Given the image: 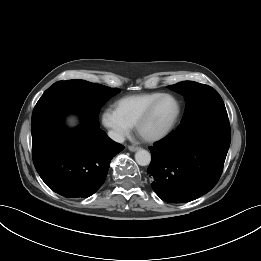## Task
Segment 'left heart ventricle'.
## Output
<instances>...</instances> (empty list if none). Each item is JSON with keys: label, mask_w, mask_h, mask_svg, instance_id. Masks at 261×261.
I'll use <instances>...</instances> for the list:
<instances>
[{"label": "left heart ventricle", "mask_w": 261, "mask_h": 261, "mask_svg": "<svg viewBox=\"0 0 261 261\" xmlns=\"http://www.w3.org/2000/svg\"><path fill=\"white\" fill-rule=\"evenodd\" d=\"M175 111V102L170 98H164L157 105L149 121L144 125L143 133L150 135L162 130L169 123Z\"/></svg>", "instance_id": "b2bd125f"}]
</instances>
